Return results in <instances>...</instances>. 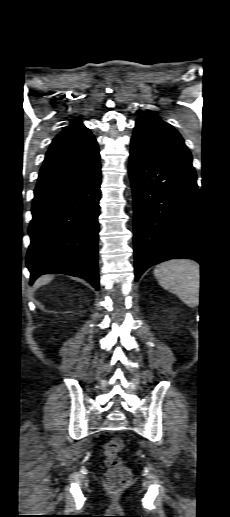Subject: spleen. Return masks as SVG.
I'll return each instance as SVG.
<instances>
[{
	"label": "spleen",
	"instance_id": "3e777b00",
	"mask_svg": "<svg viewBox=\"0 0 230 517\" xmlns=\"http://www.w3.org/2000/svg\"><path fill=\"white\" fill-rule=\"evenodd\" d=\"M154 275L164 289L176 294L186 305L195 307L199 304L198 263L186 259L167 261L154 269Z\"/></svg>",
	"mask_w": 230,
	"mask_h": 517
}]
</instances>
